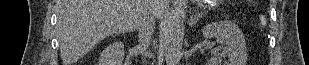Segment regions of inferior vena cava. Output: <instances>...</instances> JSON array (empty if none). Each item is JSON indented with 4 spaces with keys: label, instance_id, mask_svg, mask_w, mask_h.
Masks as SVG:
<instances>
[{
    "label": "inferior vena cava",
    "instance_id": "obj_1",
    "mask_svg": "<svg viewBox=\"0 0 309 65\" xmlns=\"http://www.w3.org/2000/svg\"><path fill=\"white\" fill-rule=\"evenodd\" d=\"M156 1H162V0H154L153 2ZM154 29H155V16L153 12L150 10L143 15L138 28L139 31L138 48L142 55L144 63L146 62V58L149 56L148 49L152 41Z\"/></svg>",
    "mask_w": 309,
    "mask_h": 65
}]
</instances>
